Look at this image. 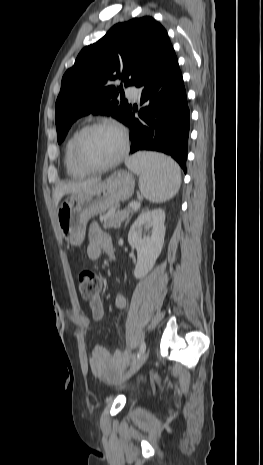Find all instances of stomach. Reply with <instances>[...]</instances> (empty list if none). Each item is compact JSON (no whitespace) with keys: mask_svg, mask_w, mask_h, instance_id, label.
I'll return each instance as SVG.
<instances>
[{"mask_svg":"<svg viewBox=\"0 0 263 465\" xmlns=\"http://www.w3.org/2000/svg\"><path fill=\"white\" fill-rule=\"evenodd\" d=\"M134 187L133 174L119 170L90 188L71 193L57 210L63 238L72 245H80L85 237L88 220L129 199Z\"/></svg>","mask_w":263,"mask_h":465,"instance_id":"0dacf381","label":"stomach"}]
</instances>
